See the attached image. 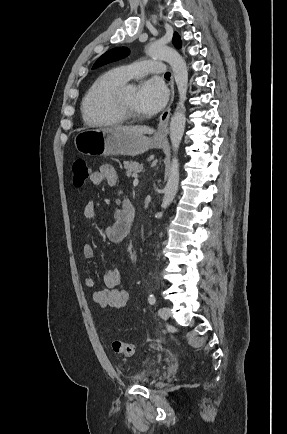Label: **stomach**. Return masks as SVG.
Returning <instances> with one entry per match:
<instances>
[{
  "instance_id": "1",
  "label": "stomach",
  "mask_w": 287,
  "mask_h": 434,
  "mask_svg": "<svg viewBox=\"0 0 287 434\" xmlns=\"http://www.w3.org/2000/svg\"><path fill=\"white\" fill-rule=\"evenodd\" d=\"M77 151L84 155L136 156L151 148H160L163 141L143 134L127 133L114 127L82 130L74 137Z\"/></svg>"
}]
</instances>
